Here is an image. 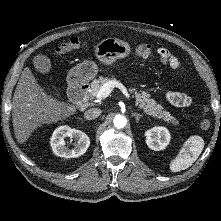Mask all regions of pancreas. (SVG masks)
Here are the masks:
<instances>
[{
  "label": "pancreas",
  "mask_w": 221,
  "mask_h": 221,
  "mask_svg": "<svg viewBox=\"0 0 221 221\" xmlns=\"http://www.w3.org/2000/svg\"><path fill=\"white\" fill-rule=\"evenodd\" d=\"M107 81H109V79L102 76L93 80L91 83L90 96L95 97L101 86ZM129 91L133 93L134 97L136 98V103L141 109L144 110L146 114L161 119L168 124H178L175 117H173L168 111L163 110V107L160 104H157L155 100L150 99L149 93L146 91L137 92L134 88H130Z\"/></svg>",
  "instance_id": "pancreas-1"
}]
</instances>
